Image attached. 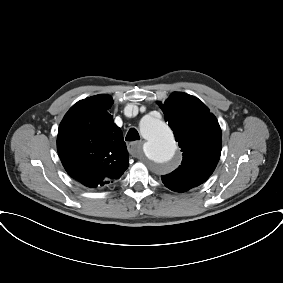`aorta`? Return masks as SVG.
<instances>
[{
  "label": "aorta",
  "instance_id": "762f6f07",
  "mask_svg": "<svg viewBox=\"0 0 283 283\" xmlns=\"http://www.w3.org/2000/svg\"><path fill=\"white\" fill-rule=\"evenodd\" d=\"M145 139L143 151L147 159L159 170L169 167L176 151L171 129L159 119L143 120L140 127Z\"/></svg>",
  "mask_w": 283,
  "mask_h": 283
}]
</instances>
